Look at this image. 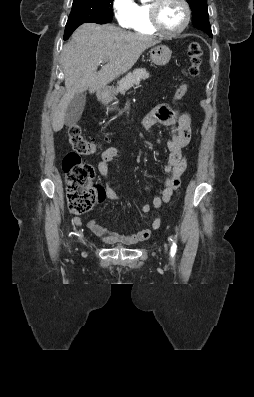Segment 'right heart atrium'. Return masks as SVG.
Segmentation results:
<instances>
[{
  "instance_id": "1",
  "label": "right heart atrium",
  "mask_w": 254,
  "mask_h": 397,
  "mask_svg": "<svg viewBox=\"0 0 254 397\" xmlns=\"http://www.w3.org/2000/svg\"><path fill=\"white\" fill-rule=\"evenodd\" d=\"M112 10L118 24L123 28H129L134 14V1L113 0Z\"/></svg>"
}]
</instances>
